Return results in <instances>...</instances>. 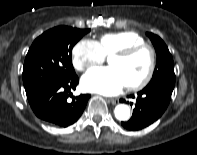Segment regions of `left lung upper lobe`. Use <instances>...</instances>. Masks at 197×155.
<instances>
[{"instance_id":"obj_1","label":"left lung upper lobe","mask_w":197,"mask_h":155,"mask_svg":"<svg viewBox=\"0 0 197 155\" xmlns=\"http://www.w3.org/2000/svg\"><path fill=\"white\" fill-rule=\"evenodd\" d=\"M152 41L157 54V64L153 78L145 88H165L173 91L175 85L174 63L172 56L163 40L153 34L147 33Z\"/></svg>"}]
</instances>
